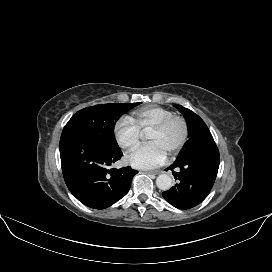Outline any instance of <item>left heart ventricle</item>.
Instances as JSON below:
<instances>
[{
  "label": "left heart ventricle",
  "instance_id": "obj_1",
  "mask_svg": "<svg viewBox=\"0 0 272 272\" xmlns=\"http://www.w3.org/2000/svg\"><path fill=\"white\" fill-rule=\"evenodd\" d=\"M181 136V127L178 123L171 124L165 131H150L148 136L149 142L159 143L166 152L179 140Z\"/></svg>",
  "mask_w": 272,
  "mask_h": 272
}]
</instances>
